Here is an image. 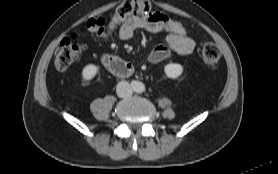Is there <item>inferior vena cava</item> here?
<instances>
[{
    "label": "inferior vena cava",
    "mask_w": 278,
    "mask_h": 174,
    "mask_svg": "<svg viewBox=\"0 0 278 174\" xmlns=\"http://www.w3.org/2000/svg\"><path fill=\"white\" fill-rule=\"evenodd\" d=\"M116 90L118 96L122 98L130 97L133 93L131 85L126 81L119 82Z\"/></svg>",
    "instance_id": "obj_1"
}]
</instances>
